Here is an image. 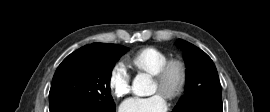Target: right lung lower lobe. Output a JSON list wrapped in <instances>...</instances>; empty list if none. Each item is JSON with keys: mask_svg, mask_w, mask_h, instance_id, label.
Listing matches in <instances>:
<instances>
[{"mask_svg": "<svg viewBox=\"0 0 270 112\" xmlns=\"http://www.w3.org/2000/svg\"><path fill=\"white\" fill-rule=\"evenodd\" d=\"M50 112H116L115 107L101 108L90 103L59 105L50 108Z\"/></svg>", "mask_w": 270, "mask_h": 112, "instance_id": "right-lung-lower-lobe-1", "label": "right lung lower lobe"}]
</instances>
